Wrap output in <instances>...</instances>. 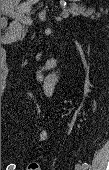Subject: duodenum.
<instances>
[{
  "instance_id": "obj_1",
  "label": "duodenum",
  "mask_w": 109,
  "mask_h": 170,
  "mask_svg": "<svg viewBox=\"0 0 109 170\" xmlns=\"http://www.w3.org/2000/svg\"><path fill=\"white\" fill-rule=\"evenodd\" d=\"M12 28L17 29L18 26L15 25V24H13V27H12ZM3 41H4V44H9V43L11 42V37H10V35H9V34H6V35L4 36V38H3ZM43 69H44V66H40V67L38 68V70H37V73H38V75L41 77V81H42L45 85H48V84H50V81H49V80H45V79L43 78Z\"/></svg>"
}]
</instances>
